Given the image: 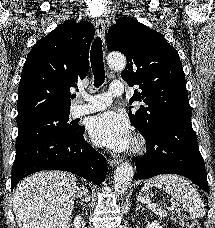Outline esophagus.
I'll return each instance as SVG.
<instances>
[{
  "label": "esophagus",
  "instance_id": "1",
  "mask_svg": "<svg viewBox=\"0 0 215 228\" xmlns=\"http://www.w3.org/2000/svg\"><path fill=\"white\" fill-rule=\"evenodd\" d=\"M96 31H97V34L99 35V37L101 38L103 44H105V35H106V25H105V22L102 18H98L96 20ZM119 159H116V160H110L109 163H110V166H115L119 163Z\"/></svg>",
  "mask_w": 215,
  "mask_h": 228
}]
</instances>
